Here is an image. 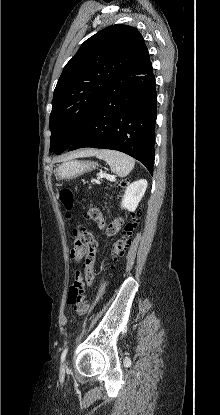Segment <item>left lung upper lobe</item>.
<instances>
[{
  "label": "left lung upper lobe",
  "instance_id": "1",
  "mask_svg": "<svg viewBox=\"0 0 220 415\" xmlns=\"http://www.w3.org/2000/svg\"><path fill=\"white\" fill-rule=\"evenodd\" d=\"M149 62L143 37L134 27L112 25L86 40L64 67L54 90L50 150L61 153L69 148L112 83Z\"/></svg>",
  "mask_w": 220,
  "mask_h": 415
}]
</instances>
